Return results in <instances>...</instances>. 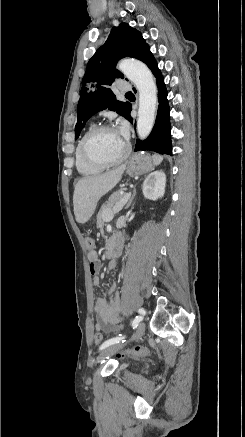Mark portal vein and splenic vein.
Returning a JSON list of instances; mask_svg holds the SVG:
<instances>
[{"label":"portal vein and splenic vein","mask_w":245,"mask_h":437,"mask_svg":"<svg viewBox=\"0 0 245 437\" xmlns=\"http://www.w3.org/2000/svg\"><path fill=\"white\" fill-rule=\"evenodd\" d=\"M130 196H131V192L125 193V195L121 199V201L117 205L114 206V208L112 209V211L110 213L107 214L106 220H111L113 218L114 214H116L119 211H121L122 208L124 207V205L129 200Z\"/></svg>","instance_id":"1"}]
</instances>
